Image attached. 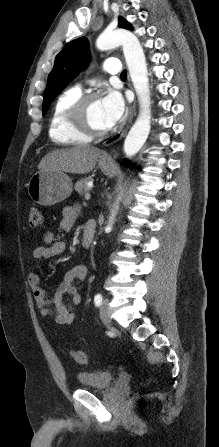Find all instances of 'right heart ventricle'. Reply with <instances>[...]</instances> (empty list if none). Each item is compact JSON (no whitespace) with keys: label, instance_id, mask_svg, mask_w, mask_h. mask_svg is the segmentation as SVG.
Segmentation results:
<instances>
[{"label":"right heart ventricle","instance_id":"obj_1","mask_svg":"<svg viewBox=\"0 0 219 447\" xmlns=\"http://www.w3.org/2000/svg\"><path fill=\"white\" fill-rule=\"evenodd\" d=\"M81 96L80 90L71 88L56 99L49 121V137L59 145L88 143L90 138L78 132L71 124L69 112L73 103Z\"/></svg>","mask_w":219,"mask_h":447}]
</instances>
